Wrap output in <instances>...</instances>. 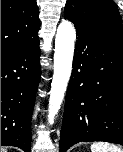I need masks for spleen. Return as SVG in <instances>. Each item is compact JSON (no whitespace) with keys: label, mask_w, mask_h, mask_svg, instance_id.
<instances>
[{"label":"spleen","mask_w":123,"mask_h":152,"mask_svg":"<svg viewBox=\"0 0 123 152\" xmlns=\"http://www.w3.org/2000/svg\"><path fill=\"white\" fill-rule=\"evenodd\" d=\"M91 152H123V150L110 143L98 142L91 145Z\"/></svg>","instance_id":"spleen-1"}]
</instances>
